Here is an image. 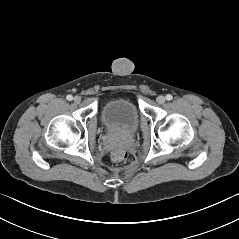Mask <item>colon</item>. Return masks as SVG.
<instances>
[{"label": "colon", "instance_id": "1", "mask_svg": "<svg viewBox=\"0 0 239 239\" xmlns=\"http://www.w3.org/2000/svg\"><path fill=\"white\" fill-rule=\"evenodd\" d=\"M111 157L115 162H123L127 159L128 153L125 149L118 148L112 152Z\"/></svg>", "mask_w": 239, "mask_h": 239}]
</instances>
